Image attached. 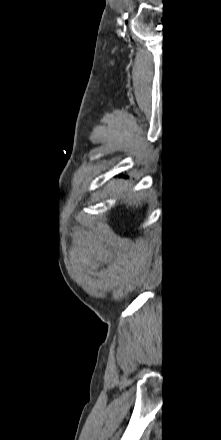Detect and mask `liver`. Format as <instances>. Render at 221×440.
I'll use <instances>...</instances> for the list:
<instances>
[{"label": "liver", "mask_w": 221, "mask_h": 440, "mask_svg": "<svg viewBox=\"0 0 221 440\" xmlns=\"http://www.w3.org/2000/svg\"><path fill=\"white\" fill-rule=\"evenodd\" d=\"M119 190H120V191H126V190H127V187H126V186L119 187ZM127 202H128V206H134V205L137 206L138 203L141 204V203H140V195H139V194H136V195H135V199H134L131 195H128V200H127Z\"/></svg>", "instance_id": "liver-1"}]
</instances>
